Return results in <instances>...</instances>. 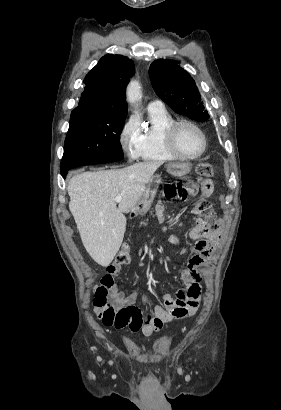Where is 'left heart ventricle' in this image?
<instances>
[{"instance_id": "obj_1", "label": "left heart ventricle", "mask_w": 281, "mask_h": 410, "mask_svg": "<svg viewBox=\"0 0 281 410\" xmlns=\"http://www.w3.org/2000/svg\"><path fill=\"white\" fill-rule=\"evenodd\" d=\"M176 143L185 154H196L203 146L200 133L190 126H181L176 133Z\"/></svg>"}]
</instances>
